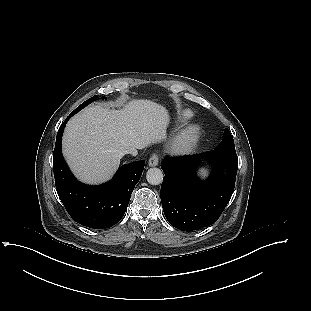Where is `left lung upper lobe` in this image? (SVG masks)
Listing matches in <instances>:
<instances>
[{"label": "left lung upper lobe", "instance_id": "obj_1", "mask_svg": "<svg viewBox=\"0 0 311 311\" xmlns=\"http://www.w3.org/2000/svg\"><path fill=\"white\" fill-rule=\"evenodd\" d=\"M214 151L236 154L233 137L227 128L224 131L222 142Z\"/></svg>", "mask_w": 311, "mask_h": 311}]
</instances>
